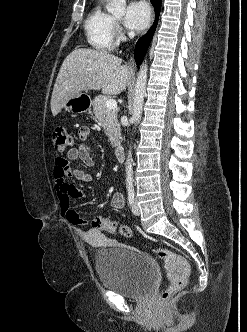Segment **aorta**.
Returning <instances> with one entry per match:
<instances>
[{"instance_id":"aorta-1","label":"aorta","mask_w":247,"mask_h":332,"mask_svg":"<svg viewBox=\"0 0 247 332\" xmlns=\"http://www.w3.org/2000/svg\"><path fill=\"white\" fill-rule=\"evenodd\" d=\"M125 8H126V0H112L111 3L108 5L107 10L109 13L113 14L114 16L120 17L125 14ZM147 72H148L147 62L144 61L140 67L135 85L133 117H132L135 125L139 123L142 116L144 98L146 95ZM132 173H133L132 158L130 151L126 162V186L128 189L133 188Z\"/></svg>"}]
</instances>
